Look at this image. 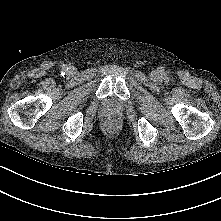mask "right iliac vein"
I'll list each match as a JSON object with an SVG mask.
<instances>
[{"label": "right iliac vein", "mask_w": 221, "mask_h": 221, "mask_svg": "<svg viewBox=\"0 0 221 221\" xmlns=\"http://www.w3.org/2000/svg\"><path fill=\"white\" fill-rule=\"evenodd\" d=\"M70 72L73 73V72H74V69H73V68H70Z\"/></svg>", "instance_id": "63e3f726"}]
</instances>
